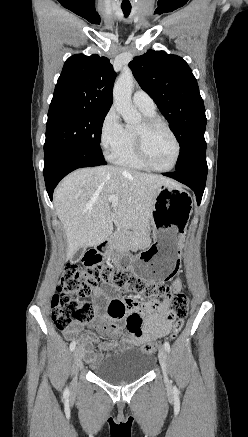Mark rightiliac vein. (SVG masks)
I'll return each mask as SVG.
<instances>
[{
  "label": "right iliac vein",
  "mask_w": 248,
  "mask_h": 437,
  "mask_svg": "<svg viewBox=\"0 0 248 437\" xmlns=\"http://www.w3.org/2000/svg\"><path fill=\"white\" fill-rule=\"evenodd\" d=\"M83 356V348L82 347H77L74 350L73 353V357H74V367H75V378H74V382H76L77 379V373L81 364V359Z\"/></svg>",
  "instance_id": "1"
}]
</instances>
